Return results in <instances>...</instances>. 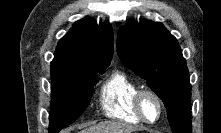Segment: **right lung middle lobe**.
Returning <instances> with one entry per match:
<instances>
[{"label":"right lung middle lobe","mask_w":221,"mask_h":133,"mask_svg":"<svg viewBox=\"0 0 221 133\" xmlns=\"http://www.w3.org/2000/svg\"><path fill=\"white\" fill-rule=\"evenodd\" d=\"M109 63L79 66L51 74L52 102L49 133H57L74 122L88 106L97 81Z\"/></svg>","instance_id":"right-lung-middle-lobe-1"}]
</instances>
